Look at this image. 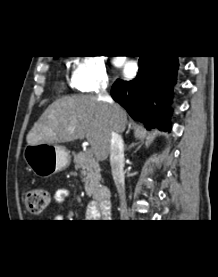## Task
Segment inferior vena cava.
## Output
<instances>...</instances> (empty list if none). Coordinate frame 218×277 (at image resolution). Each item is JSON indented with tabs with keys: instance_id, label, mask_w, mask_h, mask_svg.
Here are the masks:
<instances>
[{
	"instance_id": "602c4592",
	"label": "inferior vena cava",
	"mask_w": 218,
	"mask_h": 277,
	"mask_svg": "<svg viewBox=\"0 0 218 277\" xmlns=\"http://www.w3.org/2000/svg\"><path fill=\"white\" fill-rule=\"evenodd\" d=\"M98 100L109 104L114 111L118 110V106L114 104L111 96L107 92V84L103 83L98 93ZM110 165L112 176L120 199V217L128 219V210L125 193L124 179V142L120 134L112 131L110 141Z\"/></svg>"
}]
</instances>
